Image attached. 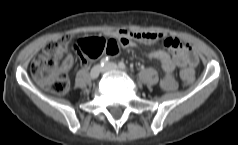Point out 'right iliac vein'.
<instances>
[{
	"label": "right iliac vein",
	"instance_id": "right-iliac-vein-1",
	"mask_svg": "<svg viewBox=\"0 0 238 145\" xmlns=\"http://www.w3.org/2000/svg\"><path fill=\"white\" fill-rule=\"evenodd\" d=\"M102 72V67L100 65H95L90 71V77L96 79Z\"/></svg>",
	"mask_w": 238,
	"mask_h": 145
}]
</instances>
